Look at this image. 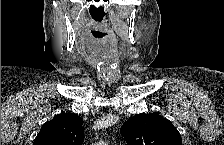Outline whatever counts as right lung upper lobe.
<instances>
[{
  "label": "right lung upper lobe",
  "mask_w": 224,
  "mask_h": 145,
  "mask_svg": "<svg viewBox=\"0 0 224 145\" xmlns=\"http://www.w3.org/2000/svg\"><path fill=\"white\" fill-rule=\"evenodd\" d=\"M82 119L72 113H62L46 122L33 145H81L83 143Z\"/></svg>",
  "instance_id": "cb5924a9"
}]
</instances>
